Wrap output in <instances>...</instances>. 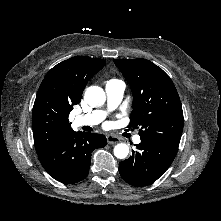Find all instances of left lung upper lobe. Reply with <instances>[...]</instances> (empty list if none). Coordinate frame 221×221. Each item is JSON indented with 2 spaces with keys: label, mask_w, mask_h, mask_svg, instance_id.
<instances>
[{
  "label": "left lung upper lobe",
  "mask_w": 221,
  "mask_h": 221,
  "mask_svg": "<svg viewBox=\"0 0 221 221\" xmlns=\"http://www.w3.org/2000/svg\"><path fill=\"white\" fill-rule=\"evenodd\" d=\"M133 93L128 127L140 137L179 146L183 131L182 105L170 77L146 59H114Z\"/></svg>",
  "instance_id": "left-lung-upper-lobe-1"
}]
</instances>
